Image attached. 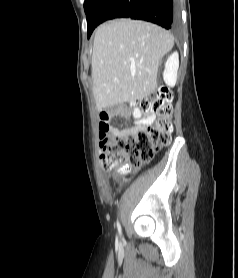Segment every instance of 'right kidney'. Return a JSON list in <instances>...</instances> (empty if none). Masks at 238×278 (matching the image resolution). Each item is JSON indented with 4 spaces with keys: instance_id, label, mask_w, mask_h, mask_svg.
Masks as SVG:
<instances>
[{
    "instance_id": "obj_1",
    "label": "right kidney",
    "mask_w": 238,
    "mask_h": 278,
    "mask_svg": "<svg viewBox=\"0 0 238 278\" xmlns=\"http://www.w3.org/2000/svg\"><path fill=\"white\" fill-rule=\"evenodd\" d=\"M179 67V56L177 52L170 55L165 63L163 73L164 81L168 86H174L177 79V71Z\"/></svg>"
}]
</instances>
